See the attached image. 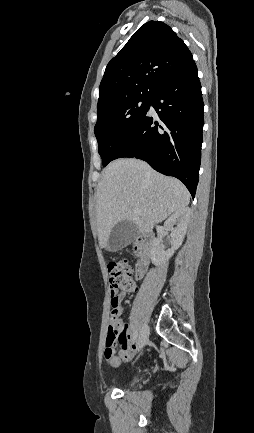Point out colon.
<instances>
[{"mask_svg": "<svg viewBox=\"0 0 254 433\" xmlns=\"http://www.w3.org/2000/svg\"><path fill=\"white\" fill-rule=\"evenodd\" d=\"M107 270L111 291V313L105 353L112 354L116 344H119L122 334V325L119 319V301L114 292L116 290L131 292L135 288V283L132 278V268L126 261L109 260Z\"/></svg>", "mask_w": 254, "mask_h": 433, "instance_id": "1", "label": "colon"}]
</instances>
